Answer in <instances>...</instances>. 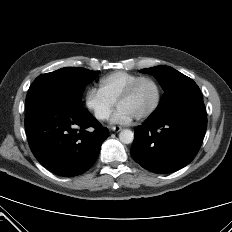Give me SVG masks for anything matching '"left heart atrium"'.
I'll return each instance as SVG.
<instances>
[{
    "mask_svg": "<svg viewBox=\"0 0 232 232\" xmlns=\"http://www.w3.org/2000/svg\"><path fill=\"white\" fill-rule=\"evenodd\" d=\"M135 117L126 109L118 107L111 118V123L126 125L132 122Z\"/></svg>",
    "mask_w": 232,
    "mask_h": 232,
    "instance_id": "obj_1",
    "label": "left heart atrium"
}]
</instances>
